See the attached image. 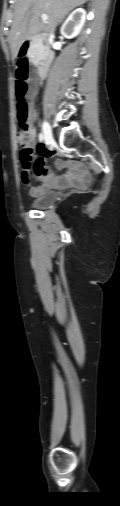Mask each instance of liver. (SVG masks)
<instances>
[{
    "instance_id": "obj_1",
    "label": "liver",
    "mask_w": 120,
    "mask_h": 506,
    "mask_svg": "<svg viewBox=\"0 0 120 506\" xmlns=\"http://www.w3.org/2000/svg\"><path fill=\"white\" fill-rule=\"evenodd\" d=\"M87 0H16L9 33L13 58L17 57L25 40L39 32H50L71 10ZM47 15L43 21L41 15Z\"/></svg>"
}]
</instances>
